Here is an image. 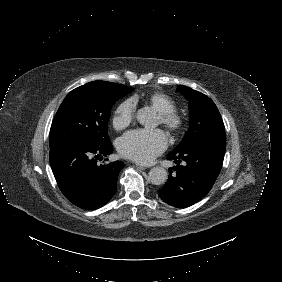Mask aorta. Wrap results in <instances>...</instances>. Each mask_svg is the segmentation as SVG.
<instances>
[{
  "label": "aorta",
  "instance_id": "obj_1",
  "mask_svg": "<svg viewBox=\"0 0 282 282\" xmlns=\"http://www.w3.org/2000/svg\"><path fill=\"white\" fill-rule=\"evenodd\" d=\"M137 120L140 124L146 127H156L155 115L151 112L149 107L141 108L137 111ZM168 179V173L163 167H153L149 171V180L154 185H162Z\"/></svg>",
  "mask_w": 282,
  "mask_h": 282
}]
</instances>
